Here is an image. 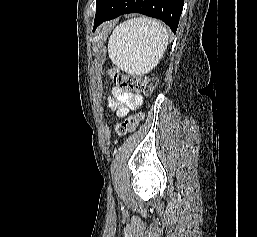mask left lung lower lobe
I'll use <instances>...</instances> for the list:
<instances>
[{
    "label": "left lung lower lobe",
    "instance_id": "1",
    "mask_svg": "<svg viewBox=\"0 0 257 237\" xmlns=\"http://www.w3.org/2000/svg\"><path fill=\"white\" fill-rule=\"evenodd\" d=\"M184 0H108L95 16L94 30L104 21L127 13H141L164 21L176 32Z\"/></svg>",
    "mask_w": 257,
    "mask_h": 237
}]
</instances>
